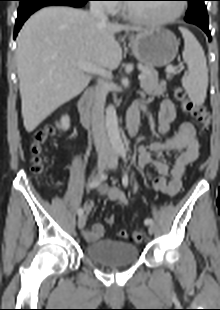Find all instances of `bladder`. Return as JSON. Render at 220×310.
<instances>
[{"mask_svg":"<svg viewBox=\"0 0 220 310\" xmlns=\"http://www.w3.org/2000/svg\"><path fill=\"white\" fill-rule=\"evenodd\" d=\"M85 255L99 265L126 266L138 260L139 247L128 242L103 238L86 245Z\"/></svg>","mask_w":220,"mask_h":310,"instance_id":"obj_1","label":"bladder"}]
</instances>
